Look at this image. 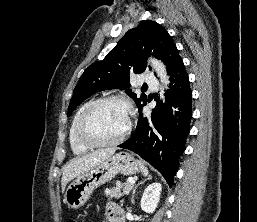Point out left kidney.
I'll return each instance as SVG.
<instances>
[{
    "instance_id": "obj_1",
    "label": "left kidney",
    "mask_w": 257,
    "mask_h": 222,
    "mask_svg": "<svg viewBox=\"0 0 257 222\" xmlns=\"http://www.w3.org/2000/svg\"><path fill=\"white\" fill-rule=\"evenodd\" d=\"M162 185L158 182L150 184L141 198V209L146 213H153L157 208Z\"/></svg>"
}]
</instances>
